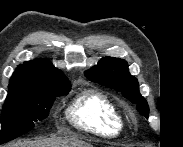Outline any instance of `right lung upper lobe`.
I'll use <instances>...</instances> for the list:
<instances>
[{"label":"right lung upper lobe","mask_w":183,"mask_h":147,"mask_svg":"<svg viewBox=\"0 0 183 147\" xmlns=\"http://www.w3.org/2000/svg\"><path fill=\"white\" fill-rule=\"evenodd\" d=\"M70 84L66 76L51 63L35 59L21 64L10 79L9 88H61Z\"/></svg>","instance_id":"1"}]
</instances>
